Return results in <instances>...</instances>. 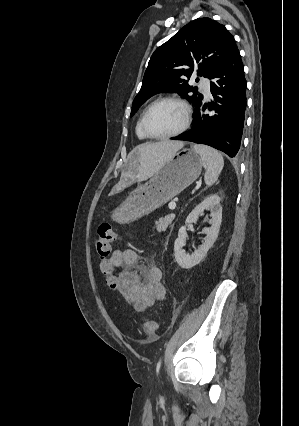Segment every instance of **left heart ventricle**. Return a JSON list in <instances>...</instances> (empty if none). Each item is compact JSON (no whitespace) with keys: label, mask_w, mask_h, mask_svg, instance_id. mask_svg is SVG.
<instances>
[{"label":"left heart ventricle","mask_w":299,"mask_h":426,"mask_svg":"<svg viewBox=\"0 0 299 426\" xmlns=\"http://www.w3.org/2000/svg\"><path fill=\"white\" fill-rule=\"evenodd\" d=\"M184 122L182 107L173 102L155 106L147 120L148 129L156 135L170 134L178 130Z\"/></svg>","instance_id":"b2bd125f"}]
</instances>
